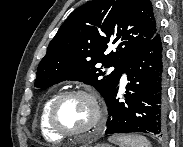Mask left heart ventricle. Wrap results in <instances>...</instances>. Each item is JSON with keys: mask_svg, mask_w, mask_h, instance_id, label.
<instances>
[{"mask_svg": "<svg viewBox=\"0 0 183 147\" xmlns=\"http://www.w3.org/2000/svg\"><path fill=\"white\" fill-rule=\"evenodd\" d=\"M58 123L67 130H81L93 120V108L83 96H72L65 99L57 110Z\"/></svg>", "mask_w": 183, "mask_h": 147, "instance_id": "left-heart-ventricle-1", "label": "left heart ventricle"}]
</instances>
